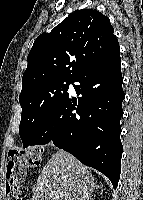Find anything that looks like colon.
Segmentation results:
<instances>
[{
    "label": "colon",
    "mask_w": 143,
    "mask_h": 200,
    "mask_svg": "<svg viewBox=\"0 0 143 200\" xmlns=\"http://www.w3.org/2000/svg\"><path fill=\"white\" fill-rule=\"evenodd\" d=\"M42 154L43 150L36 147L9 152L5 171V200H19L20 184L25 179L26 168L39 166Z\"/></svg>",
    "instance_id": "1"
}]
</instances>
